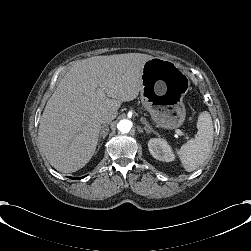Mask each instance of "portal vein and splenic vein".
<instances>
[{
	"label": "portal vein and splenic vein",
	"instance_id": "portal-vein-and-splenic-vein-1",
	"mask_svg": "<svg viewBox=\"0 0 251 251\" xmlns=\"http://www.w3.org/2000/svg\"><path fill=\"white\" fill-rule=\"evenodd\" d=\"M175 133H176V134H180V135L183 134L179 129H176V130H175ZM185 135H194V132H185Z\"/></svg>",
	"mask_w": 251,
	"mask_h": 251
}]
</instances>
